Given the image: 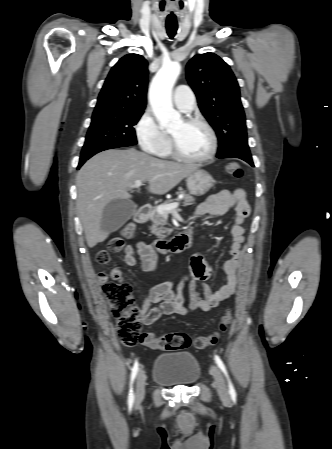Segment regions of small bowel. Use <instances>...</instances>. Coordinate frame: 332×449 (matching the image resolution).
<instances>
[{
  "instance_id": "obj_1",
  "label": "small bowel",
  "mask_w": 332,
  "mask_h": 449,
  "mask_svg": "<svg viewBox=\"0 0 332 449\" xmlns=\"http://www.w3.org/2000/svg\"><path fill=\"white\" fill-rule=\"evenodd\" d=\"M229 209L236 212V218L231 229L233 243L230 252L232 257L225 264L226 283L216 291L211 290L204 282L210 277L212 268L202 254H194L190 259L189 272L181 281V284L187 282L189 285V304L184 305L181 292L173 291V282L166 281L155 284L143 300L141 307L143 324L151 325L166 315H185L195 310L209 311L234 295L238 283V272L243 262L241 245L244 242V224L251 211L246 194L243 190H222L199 204L195 211V217L206 214L221 215ZM136 255L140 258L143 271L152 272L157 269L159 255L150 244L139 242L135 246L127 245L125 247V264L130 267L135 266L137 264ZM118 274V278L121 279L122 270L119 267Z\"/></svg>"
}]
</instances>
